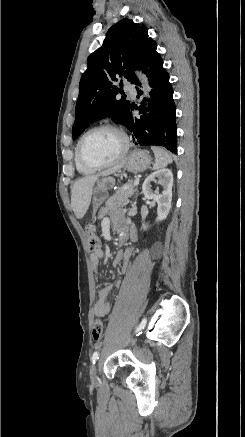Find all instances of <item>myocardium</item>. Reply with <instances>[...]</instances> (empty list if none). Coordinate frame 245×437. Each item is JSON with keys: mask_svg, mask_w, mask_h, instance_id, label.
Instances as JSON below:
<instances>
[{"mask_svg": "<svg viewBox=\"0 0 245 437\" xmlns=\"http://www.w3.org/2000/svg\"><path fill=\"white\" fill-rule=\"evenodd\" d=\"M104 129L115 131L116 133H118L121 136L122 141H123L122 150L116 158H114L113 160H111L109 162H105V163L91 162V161L87 160L82 153L83 141L85 140V138L89 134H91L95 131L104 130ZM129 148H130L129 137L121 127L114 125V124H111V123H102V124H98V125H95V126L89 128L81 135V137L78 140L77 146H76V152H77V155H78L80 161L84 165L91 167V168H94V169H104V168L114 166L117 163L121 162L128 154Z\"/></svg>", "mask_w": 245, "mask_h": 437, "instance_id": "f54148a6", "label": "myocardium"}]
</instances>
